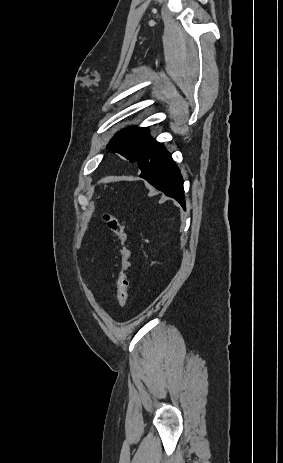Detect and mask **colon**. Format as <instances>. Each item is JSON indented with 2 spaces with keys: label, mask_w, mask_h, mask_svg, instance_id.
<instances>
[{
  "label": "colon",
  "mask_w": 283,
  "mask_h": 463,
  "mask_svg": "<svg viewBox=\"0 0 283 463\" xmlns=\"http://www.w3.org/2000/svg\"><path fill=\"white\" fill-rule=\"evenodd\" d=\"M104 222L107 228L112 231L120 242V265L117 273L116 287L117 300L121 309L125 308L128 302V269L130 266V251L127 247V234L122 222L112 214L104 215Z\"/></svg>",
  "instance_id": "colon-1"
}]
</instances>
